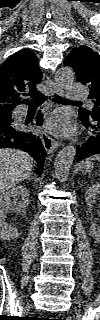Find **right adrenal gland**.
Instances as JSON below:
<instances>
[{
    "label": "right adrenal gland",
    "instance_id": "2a0ac1e0",
    "mask_svg": "<svg viewBox=\"0 0 100 320\" xmlns=\"http://www.w3.org/2000/svg\"><path fill=\"white\" fill-rule=\"evenodd\" d=\"M33 178V173H31V175L27 178V180H30Z\"/></svg>",
    "mask_w": 100,
    "mask_h": 320
}]
</instances>
